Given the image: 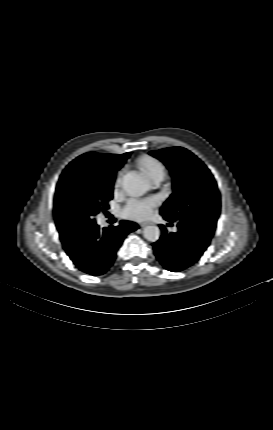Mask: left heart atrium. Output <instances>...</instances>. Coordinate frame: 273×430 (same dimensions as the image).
<instances>
[{
    "instance_id": "1",
    "label": "left heart atrium",
    "mask_w": 273,
    "mask_h": 430,
    "mask_svg": "<svg viewBox=\"0 0 273 430\" xmlns=\"http://www.w3.org/2000/svg\"><path fill=\"white\" fill-rule=\"evenodd\" d=\"M157 205L158 200L153 197L146 199L133 198L130 199L122 209V215L129 219L143 220L152 214Z\"/></svg>"
}]
</instances>
